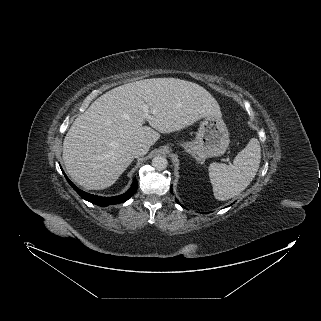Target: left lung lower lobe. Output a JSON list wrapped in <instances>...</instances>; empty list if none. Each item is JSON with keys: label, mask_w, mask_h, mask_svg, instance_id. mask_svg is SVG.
I'll use <instances>...</instances> for the list:
<instances>
[{"label": "left lung lower lobe", "mask_w": 321, "mask_h": 321, "mask_svg": "<svg viewBox=\"0 0 321 321\" xmlns=\"http://www.w3.org/2000/svg\"><path fill=\"white\" fill-rule=\"evenodd\" d=\"M171 191H172V188H171ZM175 201H176L179 205H181L177 199H175Z\"/></svg>", "instance_id": "left-lung-lower-lobe-1"}]
</instances>
